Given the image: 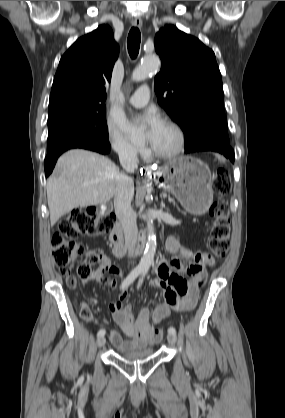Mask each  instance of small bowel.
Masks as SVG:
<instances>
[{
  "label": "small bowel",
  "instance_id": "1",
  "mask_svg": "<svg viewBox=\"0 0 285 418\" xmlns=\"http://www.w3.org/2000/svg\"><path fill=\"white\" fill-rule=\"evenodd\" d=\"M165 246L172 256L158 261L156 278L149 285V290L162 294L165 302L158 305L152 312L143 308L135 316L130 305H123L127 293L126 288L121 287L122 282L118 280L122 278L123 273L108 258H105L104 263L97 266L92 271V275L86 279L87 283L93 281L101 284L109 283L111 286L119 287L121 291L118 300L110 306L114 320L130 338V341L126 342L116 330L110 332L111 343L121 352L146 347L153 336V325L167 318L172 311L179 312L187 309L185 304L197 300L199 289L206 282L207 273L204 269L206 264L203 259L205 255L182 247L174 237L167 238ZM180 259L191 263L184 268ZM205 260L207 261V258ZM183 273L187 274L188 279L184 278ZM107 274L113 278H107ZM65 278L68 288H74L76 281L70 272L67 271ZM80 315L84 320L91 321L92 313L88 304L82 303Z\"/></svg>",
  "mask_w": 285,
  "mask_h": 418
}]
</instances>
